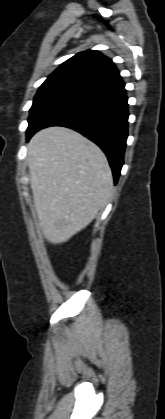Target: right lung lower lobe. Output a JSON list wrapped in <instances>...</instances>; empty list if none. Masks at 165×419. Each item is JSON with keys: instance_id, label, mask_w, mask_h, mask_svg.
I'll list each match as a JSON object with an SVG mask.
<instances>
[{"instance_id": "obj_1", "label": "right lung lower lobe", "mask_w": 165, "mask_h": 419, "mask_svg": "<svg viewBox=\"0 0 165 419\" xmlns=\"http://www.w3.org/2000/svg\"><path fill=\"white\" fill-rule=\"evenodd\" d=\"M122 80L82 95L48 114L27 135L49 126H64L76 130L95 142L108 157L117 183L123 165L128 137V104Z\"/></svg>"}]
</instances>
